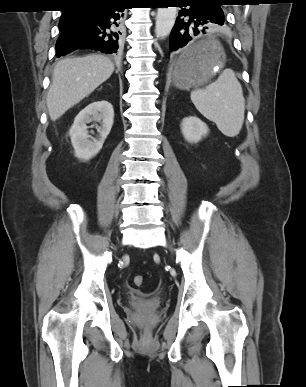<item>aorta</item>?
<instances>
[{
    "mask_svg": "<svg viewBox=\"0 0 306 387\" xmlns=\"http://www.w3.org/2000/svg\"><path fill=\"white\" fill-rule=\"evenodd\" d=\"M177 7H159L156 16L155 35L159 39L166 38L175 23Z\"/></svg>",
    "mask_w": 306,
    "mask_h": 387,
    "instance_id": "1",
    "label": "aorta"
}]
</instances>
